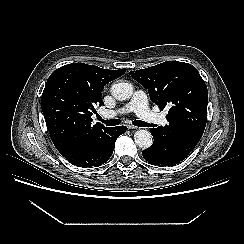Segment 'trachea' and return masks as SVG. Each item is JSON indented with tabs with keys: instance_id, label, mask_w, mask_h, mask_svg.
<instances>
[{
	"instance_id": "1",
	"label": "trachea",
	"mask_w": 244,
	"mask_h": 244,
	"mask_svg": "<svg viewBox=\"0 0 244 244\" xmlns=\"http://www.w3.org/2000/svg\"><path fill=\"white\" fill-rule=\"evenodd\" d=\"M98 119L102 123H104L106 126H116V125H119L121 122L119 119L104 120L100 116H98ZM132 123H133V125L138 126V127H149L150 126V124H148L144 121H141V120H134Z\"/></svg>"
}]
</instances>
